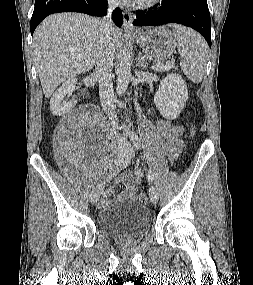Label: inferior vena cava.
Here are the masks:
<instances>
[{"label": "inferior vena cava", "instance_id": "602c4592", "mask_svg": "<svg viewBox=\"0 0 253 285\" xmlns=\"http://www.w3.org/2000/svg\"><path fill=\"white\" fill-rule=\"evenodd\" d=\"M110 11L119 5V0H108ZM109 17L99 20V48L95 60V71L99 77V96L103 109L111 113L114 109V91L112 83V68L115 47L110 31L112 29Z\"/></svg>", "mask_w": 253, "mask_h": 285}]
</instances>
